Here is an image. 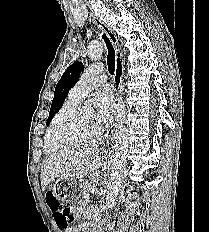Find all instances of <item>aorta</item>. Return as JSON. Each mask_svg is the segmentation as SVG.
Masks as SVG:
<instances>
[{
	"label": "aorta",
	"mask_w": 209,
	"mask_h": 232,
	"mask_svg": "<svg viewBox=\"0 0 209 232\" xmlns=\"http://www.w3.org/2000/svg\"><path fill=\"white\" fill-rule=\"evenodd\" d=\"M89 58L97 61L102 57L103 47L99 41H92L87 49ZM128 151V126L126 120L125 102L122 97L117 99L116 121H115V143L114 154L110 168V178L107 185V194L105 197L107 209H112L116 203L119 194L126 163Z\"/></svg>",
	"instance_id": "1"
}]
</instances>
